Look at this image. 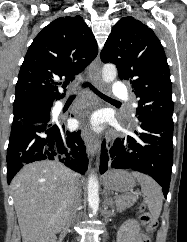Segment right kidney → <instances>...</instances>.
Here are the masks:
<instances>
[{
    "label": "right kidney",
    "instance_id": "1",
    "mask_svg": "<svg viewBox=\"0 0 187 242\" xmlns=\"http://www.w3.org/2000/svg\"><path fill=\"white\" fill-rule=\"evenodd\" d=\"M42 242H56V237L55 235H50L46 237Z\"/></svg>",
    "mask_w": 187,
    "mask_h": 242
}]
</instances>
